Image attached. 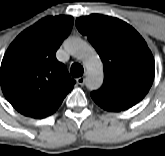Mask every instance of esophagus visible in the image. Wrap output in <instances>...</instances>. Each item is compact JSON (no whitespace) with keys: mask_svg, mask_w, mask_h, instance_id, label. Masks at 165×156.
Here are the masks:
<instances>
[{"mask_svg":"<svg viewBox=\"0 0 165 156\" xmlns=\"http://www.w3.org/2000/svg\"><path fill=\"white\" fill-rule=\"evenodd\" d=\"M77 83L81 86L85 84V78L84 77H79L76 79Z\"/></svg>","mask_w":165,"mask_h":156,"instance_id":"esophagus-1","label":"esophagus"}]
</instances>
